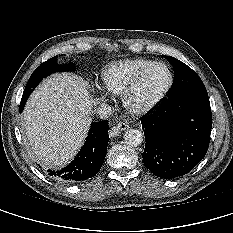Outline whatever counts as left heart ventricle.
<instances>
[{
	"label": "left heart ventricle",
	"mask_w": 233,
	"mask_h": 233,
	"mask_svg": "<svg viewBox=\"0 0 233 233\" xmlns=\"http://www.w3.org/2000/svg\"><path fill=\"white\" fill-rule=\"evenodd\" d=\"M168 73L165 68L156 66L144 77L133 96L136 104H144L152 100L166 85Z\"/></svg>",
	"instance_id": "1"
}]
</instances>
